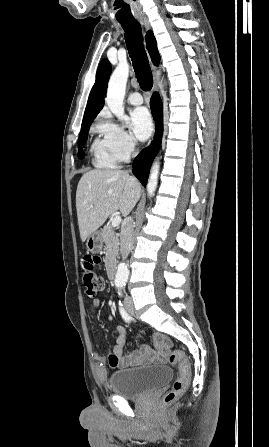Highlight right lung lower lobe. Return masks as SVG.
<instances>
[{
    "label": "right lung lower lobe",
    "instance_id": "98d812e1",
    "mask_svg": "<svg viewBox=\"0 0 269 447\" xmlns=\"http://www.w3.org/2000/svg\"><path fill=\"white\" fill-rule=\"evenodd\" d=\"M150 103L152 115L156 120L157 126L155 140L149 147L142 150L133 162V173L139 179L142 185H146L147 183L149 170L152 165L153 159L158 152L162 134V101L158 93H153Z\"/></svg>",
    "mask_w": 269,
    "mask_h": 447
}]
</instances>
